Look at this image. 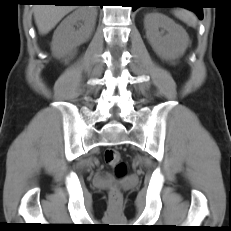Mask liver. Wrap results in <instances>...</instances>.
I'll use <instances>...</instances> for the list:
<instances>
[{
	"label": "liver",
	"mask_w": 231,
	"mask_h": 231,
	"mask_svg": "<svg viewBox=\"0 0 231 231\" xmlns=\"http://www.w3.org/2000/svg\"><path fill=\"white\" fill-rule=\"evenodd\" d=\"M74 5H36L33 8L37 28L41 34H47L68 13Z\"/></svg>",
	"instance_id": "1"
}]
</instances>
